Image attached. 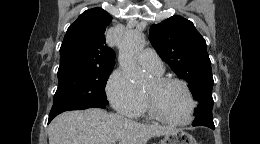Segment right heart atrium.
Wrapping results in <instances>:
<instances>
[{"label": "right heart atrium", "instance_id": "1", "mask_svg": "<svg viewBox=\"0 0 260 144\" xmlns=\"http://www.w3.org/2000/svg\"><path fill=\"white\" fill-rule=\"evenodd\" d=\"M105 92L112 107L120 114L134 115L141 104V96L121 69H115L109 76Z\"/></svg>", "mask_w": 260, "mask_h": 144}]
</instances>
